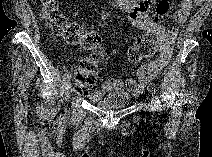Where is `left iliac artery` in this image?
I'll return each instance as SVG.
<instances>
[{
  "label": "left iliac artery",
  "instance_id": "44dca946",
  "mask_svg": "<svg viewBox=\"0 0 212 157\" xmlns=\"http://www.w3.org/2000/svg\"><path fill=\"white\" fill-rule=\"evenodd\" d=\"M151 93L155 99V105L157 108H160L161 107V102H160V99H159V96H158V93H157V90L156 89H151Z\"/></svg>",
  "mask_w": 212,
  "mask_h": 157
}]
</instances>
